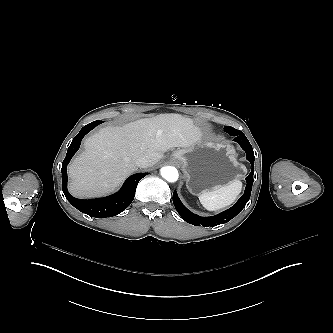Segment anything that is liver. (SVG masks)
Segmentation results:
<instances>
[{
    "mask_svg": "<svg viewBox=\"0 0 333 333\" xmlns=\"http://www.w3.org/2000/svg\"><path fill=\"white\" fill-rule=\"evenodd\" d=\"M202 136L192 119L174 113L101 128L85 139V151L69 165V190L80 198L106 195L137 169L139 157L153 166L167 150L194 146Z\"/></svg>",
    "mask_w": 333,
    "mask_h": 333,
    "instance_id": "1",
    "label": "liver"
}]
</instances>
